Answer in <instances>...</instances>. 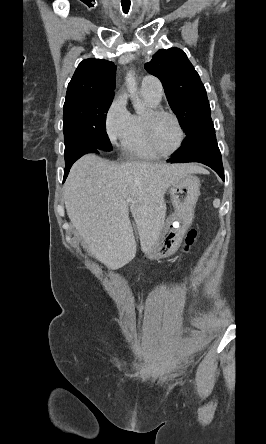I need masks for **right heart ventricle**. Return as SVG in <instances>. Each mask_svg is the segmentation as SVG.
<instances>
[{
  "label": "right heart ventricle",
  "mask_w": 266,
  "mask_h": 444,
  "mask_svg": "<svg viewBox=\"0 0 266 444\" xmlns=\"http://www.w3.org/2000/svg\"><path fill=\"white\" fill-rule=\"evenodd\" d=\"M145 101L151 108H157L159 102L143 95ZM144 115H130V120L126 134L122 140V152L125 156L139 160H155L161 155L156 153L149 146L144 131Z\"/></svg>",
  "instance_id": "1"
}]
</instances>
